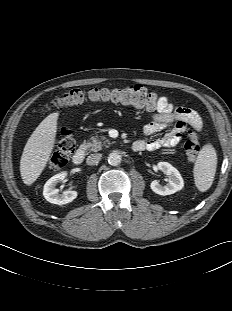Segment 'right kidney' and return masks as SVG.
Wrapping results in <instances>:
<instances>
[{
	"label": "right kidney",
	"mask_w": 232,
	"mask_h": 311,
	"mask_svg": "<svg viewBox=\"0 0 232 311\" xmlns=\"http://www.w3.org/2000/svg\"><path fill=\"white\" fill-rule=\"evenodd\" d=\"M66 172H62L51 177L44 185L43 196L45 199L53 204L63 205L72 202L78 195L77 191L67 190L62 194L55 186L66 177Z\"/></svg>",
	"instance_id": "ca27d5eb"
}]
</instances>
